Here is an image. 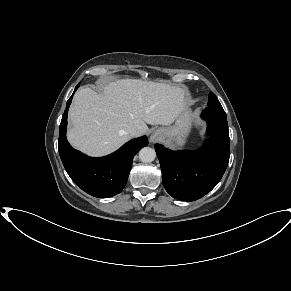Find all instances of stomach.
<instances>
[{
	"instance_id": "obj_1",
	"label": "stomach",
	"mask_w": 291,
	"mask_h": 291,
	"mask_svg": "<svg viewBox=\"0 0 291 291\" xmlns=\"http://www.w3.org/2000/svg\"><path fill=\"white\" fill-rule=\"evenodd\" d=\"M193 122V113L186 102L180 115L177 117L175 125L171 127H162L157 130L161 133L163 139L168 142L175 143L177 146H182L191 131Z\"/></svg>"
}]
</instances>
